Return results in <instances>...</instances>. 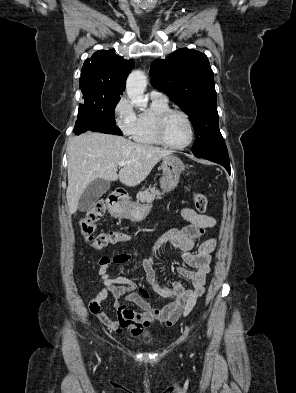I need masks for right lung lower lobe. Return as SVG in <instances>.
<instances>
[{
  "mask_svg": "<svg viewBox=\"0 0 296 393\" xmlns=\"http://www.w3.org/2000/svg\"><path fill=\"white\" fill-rule=\"evenodd\" d=\"M102 132L106 134L123 135L116 125H109L93 119L77 120L73 132L76 135L86 131Z\"/></svg>",
  "mask_w": 296,
  "mask_h": 393,
  "instance_id": "98d812e1",
  "label": "right lung lower lobe"
}]
</instances>
